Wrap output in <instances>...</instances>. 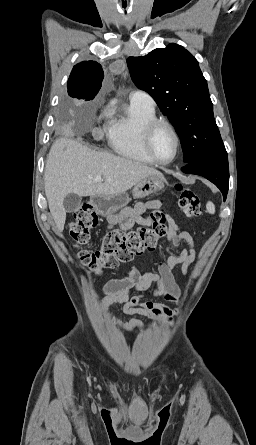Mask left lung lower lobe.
I'll return each instance as SVG.
<instances>
[{
	"instance_id": "obj_1",
	"label": "left lung lower lobe",
	"mask_w": 256,
	"mask_h": 445,
	"mask_svg": "<svg viewBox=\"0 0 256 445\" xmlns=\"http://www.w3.org/2000/svg\"><path fill=\"white\" fill-rule=\"evenodd\" d=\"M181 170L207 178L221 190L224 200L226 199L229 185L227 153L201 157L187 163Z\"/></svg>"
}]
</instances>
